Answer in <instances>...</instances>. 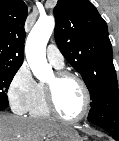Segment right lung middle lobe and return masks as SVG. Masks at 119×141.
I'll return each instance as SVG.
<instances>
[{
	"instance_id": "dd1d6c3e",
	"label": "right lung middle lobe",
	"mask_w": 119,
	"mask_h": 141,
	"mask_svg": "<svg viewBox=\"0 0 119 141\" xmlns=\"http://www.w3.org/2000/svg\"><path fill=\"white\" fill-rule=\"evenodd\" d=\"M19 68L20 67H0V106L6 107L8 105V97L6 92Z\"/></svg>"
}]
</instances>
